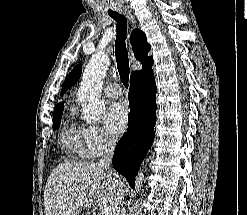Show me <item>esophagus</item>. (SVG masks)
<instances>
[{"instance_id": "1", "label": "esophagus", "mask_w": 247, "mask_h": 215, "mask_svg": "<svg viewBox=\"0 0 247 215\" xmlns=\"http://www.w3.org/2000/svg\"><path fill=\"white\" fill-rule=\"evenodd\" d=\"M124 13L128 16L129 21L131 22L132 26L135 27L136 26V21L134 20V17L131 15L129 10H124ZM130 62L134 63L135 62V57L134 54L132 52V50H130Z\"/></svg>"}]
</instances>
